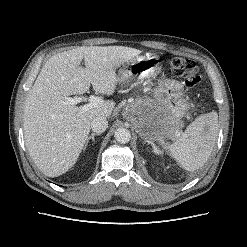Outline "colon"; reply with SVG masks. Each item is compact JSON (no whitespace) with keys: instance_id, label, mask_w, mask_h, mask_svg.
<instances>
[{"instance_id":"5ec220e1","label":"colon","mask_w":247,"mask_h":247,"mask_svg":"<svg viewBox=\"0 0 247 247\" xmlns=\"http://www.w3.org/2000/svg\"><path fill=\"white\" fill-rule=\"evenodd\" d=\"M172 72L183 78L184 84L188 87L197 85L201 81L196 63L187 58L174 57L170 61Z\"/></svg>"}]
</instances>
